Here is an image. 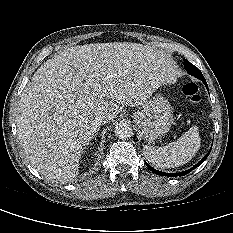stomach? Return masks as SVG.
Listing matches in <instances>:
<instances>
[{
	"label": "stomach",
	"mask_w": 233,
	"mask_h": 233,
	"mask_svg": "<svg viewBox=\"0 0 233 233\" xmlns=\"http://www.w3.org/2000/svg\"><path fill=\"white\" fill-rule=\"evenodd\" d=\"M146 142L152 143L170 130L174 121L172 107L161 95L151 97L140 111L133 114Z\"/></svg>",
	"instance_id": "0dacf381"
}]
</instances>
